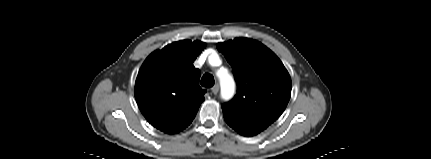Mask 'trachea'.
<instances>
[{
    "instance_id": "3493384b",
    "label": "trachea",
    "mask_w": 431,
    "mask_h": 159,
    "mask_svg": "<svg viewBox=\"0 0 431 159\" xmlns=\"http://www.w3.org/2000/svg\"><path fill=\"white\" fill-rule=\"evenodd\" d=\"M214 83H215L214 77L212 74H209V73L204 74L200 81L201 86L206 88L212 87Z\"/></svg>"
}]
</instances>
